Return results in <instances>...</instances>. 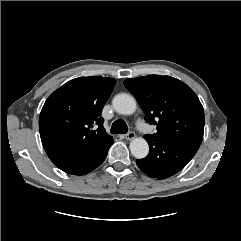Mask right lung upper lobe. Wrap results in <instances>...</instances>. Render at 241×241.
I'll use <instances>...</instances> for the list:
<instances>
[{"instance_id":"cb5924a9","label":"right lung upper lobe","mask_w":241,"mask_h":241,"mask_svg":"<svg viewBox=\"0 0 241 241\" xmlns=\"http://www.w3.org/2000/svg\"><path fill=\"white\" fill-rule=\"evenodd\" d=\"M115 83L108 77H79L48 97L40 113L39 130L53 163L88 152L112 138L100 115Z\"/></svg>"}]
</instances>
